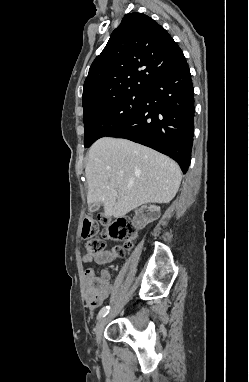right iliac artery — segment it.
<instances>
[{
    "instance_id": "82829eb1",
    "label": "right iliac artery",
    "mask_w": 249,
    "mask_h": 382,
    "mask_svg": "<svg viewBox=\"0 0 249 382\" xmlns=\"http://www.w3.org/2000/svg\"><path fill=\"white\" fill-rule=\"evenodd\" d=\"M109 310H110V306H105V307H103V308L99 311L97 318H98V319H101V318L105 317V316L109 313Z\"/></svg>"
}]
</instances>
